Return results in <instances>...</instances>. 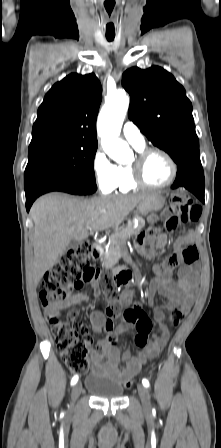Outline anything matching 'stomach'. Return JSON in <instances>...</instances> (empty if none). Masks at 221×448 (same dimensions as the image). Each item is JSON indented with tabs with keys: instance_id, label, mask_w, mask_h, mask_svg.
<instances>
[{
	"instance_id": "1",
	"label": "stomach",
	"mask_w": 221,
	"mask_h": 448,
	"mask_svg": "<svg viewBox=\"0 0 221 448\" xmlns=\"http://www.w3.org/2000/svg\"><path fill=\"white\" fill-rule=\"evenodd\" d=\"M165 199L159 193L150 194L145 200H143L139 206L138 211L141 214L154 213L161 210L164 206ZM128 220L125 219L115 226L116 231H120L127 226Z\"/></svg>"
}]
</instances>
